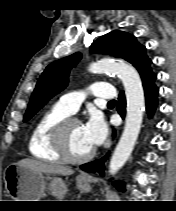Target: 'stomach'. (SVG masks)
Returning <instances> with one entry per match:
<instances>
[{
  "instance_id": "stomach-1",
  "label": "stomach",
  "mask_w": 176,
  "mask_h": 211,
  "mask_svg": "<svg viewBox=\"0 0 176 211\" xmlns=\"http://www.w3.org/2000/svg\"><path fill=\"white\" fill-rule=\"evenodd\" d=\"M46 180H50L47 183ZM5 188L14 201H40L49 191L58 199H63L67 193V185L58 177H46L18 164L9 165L4 171ZM76 184L81 192L91 190L90 180L82 175L76 178ZM61 201V200H60Z\"/></svg>"
}]
</instances>
